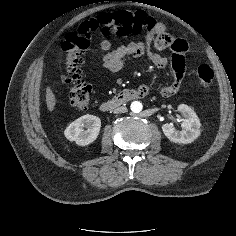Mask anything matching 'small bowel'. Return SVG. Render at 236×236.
<instances>
[{
	"label": "small bowel",
	"mask_w": 236,
	"mask_h": 236,
	"mask_svg": "<svg viewBox=\"0 0 236 236\" xmlns=\"http://www.w3.org/2000/svg\"><path fill=\"white\" fill-rule=\"evenodd\" d=\"M172 50L171 66L173 79L164 85L161 94L165 97L173 96L179 90L185 74V56L188 52V44L184 39L172 38L166 42L152 32H148L144 41H134L122 44L112 49V43L108 39L100 42V49L103 52V67L110 73L115 74L123 69L131 58L146 56L148 60L158 68H164L169 63L167 56L158 53L156 50ZM142 93H148L147 86H141Z\"/></svg>",
	"instance_id": "obj_1"
}]
</instances>
